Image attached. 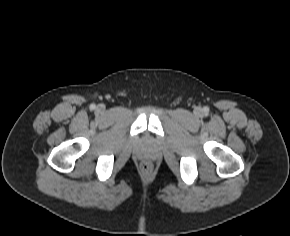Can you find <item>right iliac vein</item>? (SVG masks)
Listing matches in <instances>:
<instances>
[{
	"label": "right iliac vein",
	"mask_w": 290,
	"mask_h": 236,
	"mask_svg": "<svg viewBox=\"0 0 290 236\" xmlns=\"http://www.w3.org/2000/svg\"><path fill=\"white\" fill-rule=\"evenodd\" d=\"M104 106L103 105H99V106H97V112H99V113H102L103 111H104Z\"/></svg>",
	"instance_id": "obj_1"
}]
</instances>
